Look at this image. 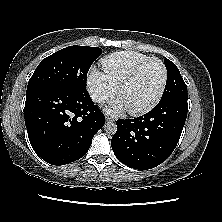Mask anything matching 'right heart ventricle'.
I'll use <instances>...</instances> for the list:
<instances>
[{"instance_id": "obj_1", "label": "right heart ventricle", "mask_w": 222, "mask_h": 222, "mask_svg": "<svg viewBox=\"0 0 222 222\" xmlns=\"http://www.w3.org/2000/svg\"><path fill=\"white\" fill-rule=\"evenodd\" d=\"M149 56L134 51L114 52L102 59L105 74L116 87L131 73V71Z\"/></svg>"}]
</instances>
